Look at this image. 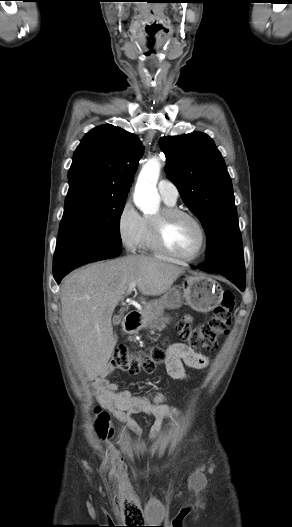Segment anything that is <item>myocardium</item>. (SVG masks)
<instances>
[{"label": "myocardium", "instance_id": "f54148a6", "mask_svg": "<svg viewBox=\"0 0 292 527\" xmlns=\"http://www.w3.org/2000/svg\"><path fill=\"white\" fill-rule=\"evenodd\" d=\"M178 216L190 218L197 225L201 242L198 250L190 256H182L174 252L166 242V228L171 220ZM151 237L155 248L163 255L180 262H193L199 259L207 250L208 235L203 222L191 211L177 207H163L157 216L150 218Z\"/></svg>", "mask_w": 292, "mask_h": 527}]
</instances>
